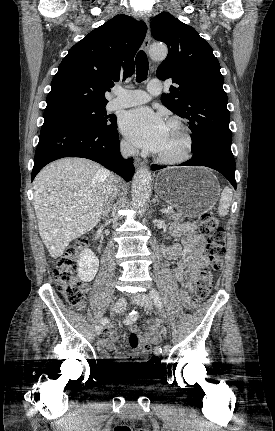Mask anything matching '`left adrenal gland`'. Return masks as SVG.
I'll use <instances>...</instances> for the list:
<instances>
[{
    "mask_svg": "<svg viewBox=\"0 0 275 431\" xmlns=\"http://www.w3.org/2000/svg\"><path fill=\"white\" fill-rule=\"evenodd\" d=\"M153 202H157L158 204H160V201L158 200L157 195H155V197H154V199H153Z\"/></svg>",
    "mask_w": 275,
    "mask_h": 431,
    "instance_id": "obj_1",
    "label": "left adrenal gland"
}]
</instances>
